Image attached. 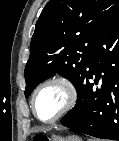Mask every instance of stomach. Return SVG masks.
I'll return each mask as SVG.
<instances>
[{
    "label": "stomach",
    "mask_w": 119,
    "mask_h": 141,
    "mask_svg": "<svg viewBox=\"0 0 119 141\" xmlns=\"http://www.w3.org/2000/svg\"><path fill=\"white\" fill-rule=\"evenodd\" d=\"M51 141H82V139L77 136H68L66 138L60 136H53L51 138Z\"/></svg>",
    "instance_id": "0dacf381"
}]
</instances>
